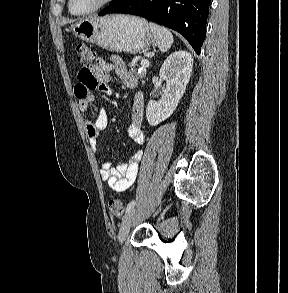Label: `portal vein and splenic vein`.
<instances>
[{
  "label": "portal vein and splenic vein",
  "instance_id": "1",
  "mask_svg": "<svg viewBox=\"0 0 288 293\" xmlns=\"http://www.w3.org/2000/svg\"><path fill=\"white\" fill-rule=\"evenodd\" d=\"M149 65H150V63H149V60L148 59L143 58L141 60V66L142 67H149Z\"/></svg>",
  "mask_w": 288,
  "mask_h": 293
}]
</instances>
